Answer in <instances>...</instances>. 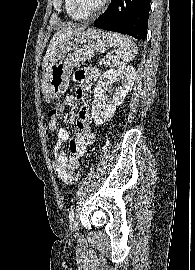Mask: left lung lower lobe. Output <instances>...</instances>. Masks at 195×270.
Listing matches in <instances>:
<instances>
[{
	"label": "left lung lower lobe",
	"mask_w": 195,
	"mask_h": 270,
	"mask_svg": "<svg viewBox=\"0 0 195 270\" xmlns=\"http://www.w3.org/2000/svg\"><path fill=\"white\" fill-rule=\"evenodd\" d=\"M151 0H112L95 27L145 40Z\"/></svg>",
	"instance_id": "0a47b994"
}]
</instances>
